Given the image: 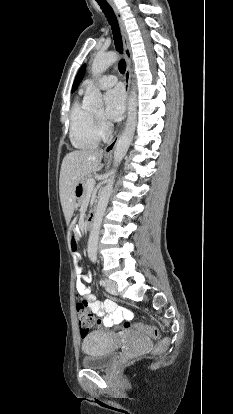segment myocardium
Masks as SVG:
<instances>
[{
    "label": "myocardium",
    "instance_id": "f54148a6",
    "mask_svg": "<svg viewBox=\"0 0 233 414\" xmlns=\"http://www.w3.org/2000/svg\"><path fill=\"white\" fill-rule=\"evenodd\" d=\"M93 119H94V123H95V125H96V127L99 131H107L108 130V126L104 122L103 119L97 117L96 115H93Z\"/></svg>",
    "mask_w": 233,
    "mask_h": 414
}]
</instances>
